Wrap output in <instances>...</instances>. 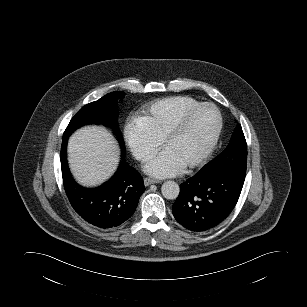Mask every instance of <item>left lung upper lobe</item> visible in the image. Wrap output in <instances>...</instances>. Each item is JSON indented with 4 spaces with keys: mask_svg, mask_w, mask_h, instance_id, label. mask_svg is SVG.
I'll list each match as a JSON object with an SVG mask.
<instances>
[{
    "mask_svg": "<svg viewBox=\"0 0 307 307\" xmlns=\"http://www.w3.org/2000/svg\"><path fill=\"white\" fill-rule=\"evenodd\" d=\"M247 144L241 128L238 125L230 144L216 158L207 163L201 171L211 169L246 168Z\"/></svg>",
    "mask_w": 307,
    "mask_h": 307,
    "instance_id": "left-lung-upper-lobe-1",
    "label": "left lung upper lobe"
}]
</instances>
